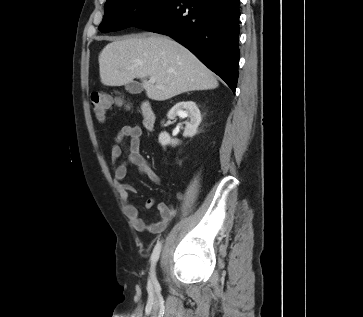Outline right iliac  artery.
I'll return each mask as SVG.
<instances>
[{
	"label": "right iliac artery",
	"mask_w": 363,
	"mask_h": 317,
	"mask_svg": "<svg viewBox=\"0 0 363 317\" xmlns=\"http://www.w3.org/2000/svg\"><path fill=\"white\" fill-rule=\"evenodd\" d=\"M161 242H158L156 244V246L154 247V250L152 252V255H151V278L152 280H155V266H156V263L158 261V258H159V254H160V251H161Z\"/></svg>",
	"instance_id": "right-iliac-artery-1"
}]
</instances>
